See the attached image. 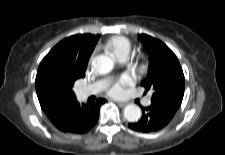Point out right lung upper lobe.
Listing matches in <instances>:
<instances>
[{
	"instance_id": "obj_1",
	"label": "right lung upper lobe",
	"mask_w": 225,
	"mask_h": 155,
	"mask_svg": "<svg viewBox=\"0 0 225 155\" xmlns=\"http://www.w3.org/2000/svg\"><path fill=\"white\" fill-rule=\"evenodd\" d=\"M99 35H73L60 41L39 65L35 85L45 114L76 99L67 87L72 78H82Z\"/></svg>"
}]
</instances>
